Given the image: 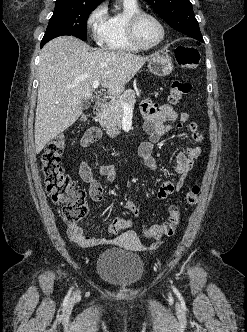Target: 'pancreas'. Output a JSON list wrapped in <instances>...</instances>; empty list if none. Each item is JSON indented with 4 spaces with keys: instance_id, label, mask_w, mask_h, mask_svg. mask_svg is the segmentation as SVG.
Instances as JSON below:
<instances>
[{
    "instance_id": "1",
    "label": "pancreas",
    "mask_w": 247,
    "mask_h": 332,
    "mask_svg": "<svg viewBox=\"0 0 247 332\" xmlns=\"http://www.w3.org/2000/svg\"><path fill=\"white\" fill-rule=\"evenodd\" d=\"M124 102L128 103L131 107L134 106L136 102L134 90H126L118 99L114 100L109 106H107L99 116L101 127L104 128L107 134L112 138L120 134L122 119L124 116L122 103Z\"/></svg>"
}]
</instances>
